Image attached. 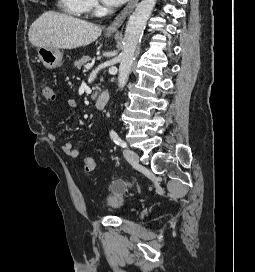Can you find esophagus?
Instances as JSON below:
<instances>
[{
	"mask_svg": "<svg viewBox=\"0 0 255 272\" xmlns=\"http://www.w3.org/2000/svg\"><path fill=\"white\" fill-rule=\"evenodd\" d=\"M139 0H130V2L120 11V13L115 17V19L107 27L106 31L108 33L118 31L119 27L123 24L127 16L131 13L133 8L136 6Z\"/></svg>",
	"mask_w": 255,
	"mask_h": 272,
	"instance_id": "1",
	"label": "esophagus"
}]
</instances>
